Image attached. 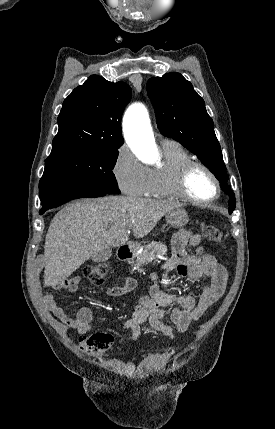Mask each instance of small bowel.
Segmentation results:
<instances>
[{"instance_id":"small-bowel-1","label":"small bowel","mask_w":275,"mask_h":429,"mask_svg":"<svg viewBox=\"0 0 275 429\" xmlns=\"http://www.w3.org/2000/svg\"><path fill=\"white\" fill-rule=\"evenodd\" d=\"M187 245L195 247L194 253L187 251ZM173 255L162 266L164 271L175 270L179 277L196 281L207 279L202 292L198 297L183 295L177 296L166 293L160 289L157 275L152 274L155 284L148 295L142 296L129 317L123 324V328L131 333L132 340L139 339L141 326L145 323L149 327L163 335L173 338L176 333L185 332L190 324L202 317L205 311L218 301L224 294L228 274L224 266L217 262L214 255L206 253L201 246V237L188 230L176 233L172 240ZM80 283L79 277H73L63 281L60 286L70 291H75ZM135 286V280L126 277L121 283L107 288L109 295H120ZM42 302L44 306L69 328L80 334H87L93 328V313L90 308L82 307L75 316L68 315L63 308L58 306L52 292L46 290ZM175 305L167 314L166 309ZM174 324L173 329L168 320Z\"/></svg>"}]
</instances>
